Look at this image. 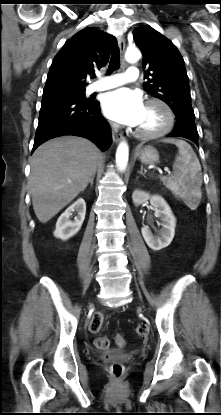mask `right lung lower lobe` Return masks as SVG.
Instances as JSON below:
<instances>
[{"label": "right lung lower lobe", "mask_w": 221, "mask_h": 415, "mask_svg": "<svg viewBox=\"0 0 221 415\" xmlns=\"http://www.w3.org/2000/svg\"><path fill=\"white\" fill-rule=\"evenodd\" d=\"M85 137L103 151L112 143L110 127L98 101L67 96H43L32 152L43 142L63 136Z\"/></svg>", "instance_id": "obj_1"}]
</instances>
